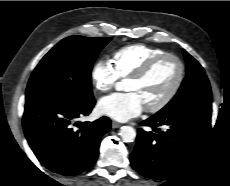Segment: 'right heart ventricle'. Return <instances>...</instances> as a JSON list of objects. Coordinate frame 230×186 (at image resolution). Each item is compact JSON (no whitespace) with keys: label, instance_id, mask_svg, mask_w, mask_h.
Segmentation results:
<instances>
[{"label":"right heart ventricle","instance_id":"obj_1","mask_svg":"<svg viewBox=\"0 0 230 186\" xmlns=\"http://www.w3.org/2000/svg\"><path fill=\"white\" fill-rule=\"evenodd\" d=\"M165 53L164 50L144 44H132L116 50L111 57L118 78H128L151 58Z\"/></svg>","mask_w":230,"mask_h":186}]
</instances>
